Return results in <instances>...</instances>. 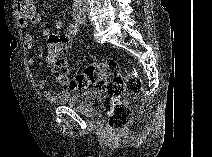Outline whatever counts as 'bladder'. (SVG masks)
Listing matches in <instances>:
<instances>
[{"mask_svg":"<svg viewBox=\"0 0 212 157\" xmlns=\"http://www.w3.org/2000/svg\"><path fill=\"white\" fill-rule=\"evenodd\" d=\"M105 100V93L94 89H85L72 93L65 105L85 115L95 116L102 111Z\"/></svg>","mask_w":212,"mask_h":157,"instance_id":"obj_1","label":"bladder"}]
</instances>
